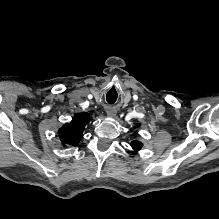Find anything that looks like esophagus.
Here are the masks:
<instances>
[{"instance_id": "1", "label": "esophagus", "mask_w": 219, "mask_h": 219, "mask_svg": "<svg viewBox=\"0 0 219 219\" xmlns=\"http://www.w3.org/2000/svg\"><path fill=\"white\" fill-rule=\"evenodd\" d=\"M106 112H107L108 116L114 117L116 115V108L115 107H108Z\"/></svg>"}]
</instances>
